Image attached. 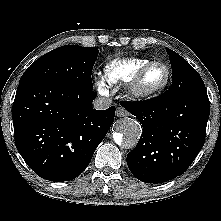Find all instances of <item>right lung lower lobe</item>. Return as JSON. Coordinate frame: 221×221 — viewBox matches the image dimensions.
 Here are the masks:
<instances>
[{
	"label": "right lung lower lobe",
	"instance_id": "1",
	"mask_svg": "<svg viewBox=\"0 0 221 221\" xmlns=\"http://www.w3.org/2000/svg\"><path fill=\"white\" fill-rule=\"evenodd\" d=\"M92 89L25 81L12 110L15 145L28 166L49 181L79 176L114 121L115 107L92 108Z\"/></svg>",
	"mask_w": 221,
	"mask_h": 221
}]
</instances>
